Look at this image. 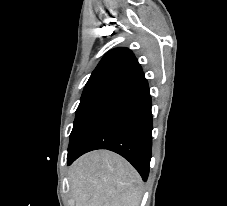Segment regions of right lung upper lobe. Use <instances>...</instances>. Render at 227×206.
Here are the masks:
<instances>
[{
	"mask_svg": "<svg viewBox=\"0 0 227 206\" xmlns=\"http://www.w3.org/2000/svg\"><path fill=\"white\" fill-rule=\"evenodd\" d=\"M143 77L142 68L131 50L116 48L102 58L86 85L110 80L132 83Z\"/></svg>",
	"mask_w": 227,
	"mask_h": 206,
	"instance_id": "obj_1",
	"label": "right lung upper lobe"
}]
</instances>
